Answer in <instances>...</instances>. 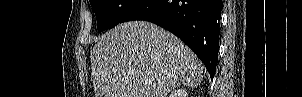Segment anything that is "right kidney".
<instances>
[{"label": "right kidney", "instance_id": "obj_1", "mask_svg": "<svg viewBox=\"0 0 302 97\" xmlns=\"http://www.w3.org/2000/svg\"><path fill=\"white\" fill-rule=\"evenodd\" d=\"M169 97H188V93L185 89H177L173 91Z\"/></svg>", "mask_w": 302, "mask_h": 97}]
</instances>
